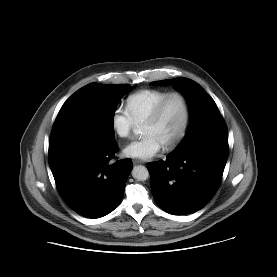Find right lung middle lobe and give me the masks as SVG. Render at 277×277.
<instances>
[{"label":"right lung middle lobe","instance_id":"right-lung-middle-lobe-1","mask_svg":"<svg viewBox=\"0 0 277 277\" xmlns=\"http://www.w3.org/2000/svg\"><path fill=\"white\" fill-rule=\"evenodd\" d=\"M128 84L90 83L71 95L60 109L54 125L75 126L104 140H114V114Z\"/></svg>","mask_w":277,"mask_h":277}]
</instances>
